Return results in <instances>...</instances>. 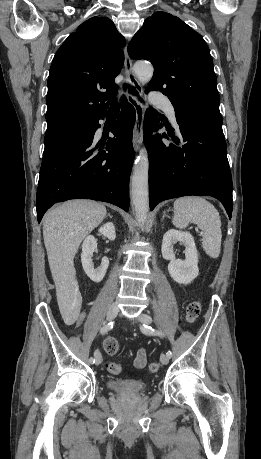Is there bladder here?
I'll list each match as a JSON object with an SVG mask.
<instances>
[{
    "mask_svg": "<svg viewBox=\"0 0 261 459\" xmlns=\"http://www.w3.org/2000/svg\"><path fill=\"white\" fill-rule=\"evenodd\" d=\"M107 386L118 394L134 395L146 391V384L137 379H110Z\"/></svg>",
    "mask_w": 261,
    "mask_h": 459,
    "instance_id": "31cf9c89",
    "label": "bladder"
}]
</instances>
